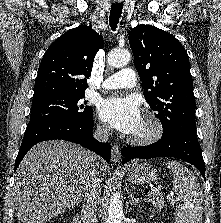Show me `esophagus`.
I'll list each match as a JSON object with an SVG mask.
<instances>
[{"instance_id":"obj_1","label":"esophagus","mask_w":221,"mask_h":223,"mask_svg":"<svg viewBox=\"0 0 221 223\" xmlns=\"http://www.w3.org/2000/svg\"><path fill=\"white\" fill-rule=\"evenodd\" d=\"M116 2H120L121 0H115ZM111 160L114 163H120L121 162V152L118 145L114 144L112 146L111 150Z\"/></svg>"}]
</instances>
